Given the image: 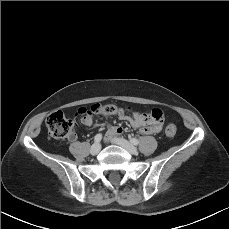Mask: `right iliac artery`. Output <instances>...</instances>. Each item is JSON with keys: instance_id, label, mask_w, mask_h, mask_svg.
I'll list each match as a JSON object with an SVG mask.
<instances>
[{"instance_id": "82829eb1", "label": "right iliac artery", "mask_w": 229, "mask_h": 229, "mask_svg": "<svg viewBox=\"0 0 229 229\" xmlns=\"http://www.w3.org/2000/svg\"><path fill=\"white\" fill-rule=\"evenodd\" d=\"M101 139H102V134H97L95 137H94V141L95 142H100L101 141Z\"/></svg>"}]
</instances>
